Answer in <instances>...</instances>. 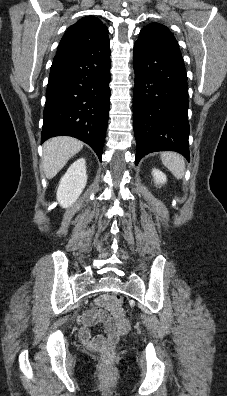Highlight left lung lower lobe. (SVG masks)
<instances>
[{
	"label": "left lung lower lobe",
	"mask_w": 227,
	"mask_h": 396,
	"mask_svg": "<svg viewBox=\"0 0 227 396\" xmlns=\"http://www.w3.org/2000/svg\"><path fill=\"white\" fill-rule=\"evenodd\" d=\"M133 57L136 165L155 151H177L189 159L188 86L179 47L138 38Z\"/></svg>",
	"instance_id": "obj_1"
}]
</instances>
